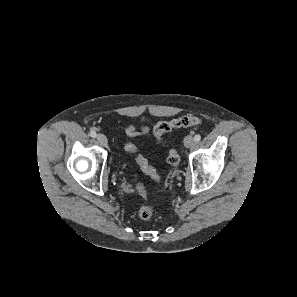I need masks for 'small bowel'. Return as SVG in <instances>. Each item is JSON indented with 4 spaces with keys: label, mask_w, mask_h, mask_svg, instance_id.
Segmentation results:
<instances>
[{
    "label": "small bowel",
    "mask_w": 297,
    "mask_h": 297,
    "mask_svg": "<svg viewBox=\"0 0 297 297\" xmlns=\"http://www.w3.org/2000/svg\"><path fill=\"white\" fill-rule=\"evenodd\" d=\"M124 132L127 136L133 137L139 134H148V129L146 127H142L139 131L133 125H127L124 127Z\"/></svg>",
    "instance_id": "obj_1"
}]
</instances>
